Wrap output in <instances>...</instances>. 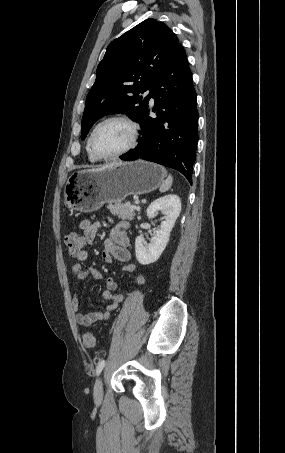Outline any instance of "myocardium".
Here are the masks:
<instances>
[{
	"mask_svg": "<svg viewBox=\"0 0 285 453\" xmlns=\"http://www.w3.org/2000/svg\"><path fill=\"white\" fill-rule=\"evenodd\" d=\"M110 121H122V122L128 124L129 127L131 128V132H132L131 141L124 149H122V150H120V151H118V152H116L114 154L101 155L95 149L94 138H95L97 130L103 124H105L107 122H110ZM140 130H141V128H140L139 123L135 119H133L132 117H130V116L126 115V114L110 115V116L102 119L100 122H98L95 125V127L93 128V130H92V132L90 134V137H89V148H90V151L98 160H112V159H116V158H119L121 156H124L125 154L129 153L130 151H132L138 145L139 138H140Z\"/></svg>",
	"mask_w": 285,
	"mask_h": 453,
	"instance_id": "myocardium-1",
	"label": "myocardium"
}]
</instances>
